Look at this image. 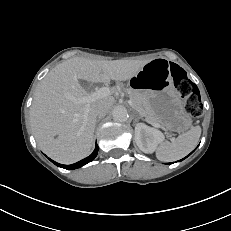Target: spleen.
Instances as JSON below:
<instances>
[{"instance_id": "1", "label": "spleen", "mask_w": 231, "mask_h": 231, "mask_svg": "<svg viewBox=\"0 0 231 231\" xmlns=\"http://www.w3.org/2000/svg\"><path fill=\"white\" fill-rule=\"evenodd\" d=\"M201 135L200 126L179 135L173 142H164L156 149V157L160 161H176L190 153L198 143Z\"/></svg>"}]
</instances>
